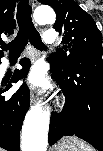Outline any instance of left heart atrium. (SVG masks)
<instances>
[{
    "instance_id": "left-heart-atrium-1",
    "label": "left heart atrium",
    "mask_w": 103,
    "mask_h": 151,
    "mask_svg": "<svg viewBox=\"0 0 103 151\" xmlns=\"http://www.w3.org/2000/svg\"><path fill=\"white\" fill-rule=\"evenodd\" d=\"M25 81L33 88H43L47 84L45 72L40 65H35L31 69Z\"/></svg>"
}]
</instances>
